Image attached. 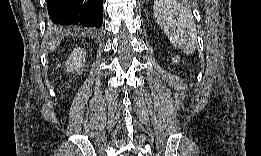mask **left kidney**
<instances>
[{
    "label": "left kidney",
    "instance_id": "obj_1",
    "mask_svg": "<svg viewBox=\"0 0 261 156\" xmlns=\"http://www.w3.org/2000/svg\"><path fill=\"white\" fill-rule=\"evenodd\" d=\"M179 59H180V57H179V56H176V57H173V58H172V61H173V63H178V62H179Z\"/></svg>",
    "mask_w": 261,
    "mask_h": 156
}]
</instances>
